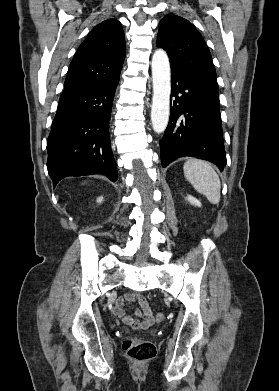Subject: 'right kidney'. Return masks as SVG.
I'll return each mask as SVG.
<instances>
[{
	"label": "right kidney",
	"mask_w": 279,
	"mask_h": 391,
	"mask_svg": "<svg viewBox=\"0 0 279 391\" xmlns=\"http://www.w3.org/2000/svg\"><path fill=\"white\" fill-rule=\"evenodd\" d=\"M102 201H103V197H98V198H97V202H98V203H101Z\"/></svg>",
	"instance_id": "right-kidney-1"
}]
</instances>
